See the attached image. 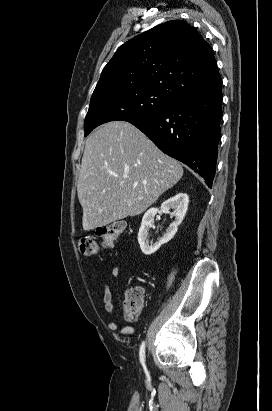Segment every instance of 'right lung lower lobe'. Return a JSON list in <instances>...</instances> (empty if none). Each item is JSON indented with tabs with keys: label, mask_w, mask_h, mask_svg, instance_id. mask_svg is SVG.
Instances as JSON below:
<instances>
[{
	"label": "right lung lower lobe",
	"mask_w": 272,
	"mask_h": 411,
	"mask_svg": "<svg viewBox=\"0 0 272 411\" xmlns=\"http://www.w3.org/2000/svg\"><path fill=\"white\" fill-rule=\"evenodd\" d=\"M222 82L176 100L152 116L130 122L167 155L183 162L212 187L222 118Z\"/></svg>",
	"instance_id": "98d812e1"
}]
</instances>
